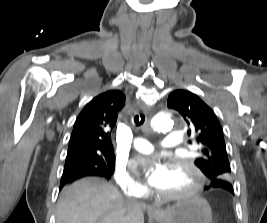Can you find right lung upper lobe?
I'll list each match as a JSON object with an SVG mask.
<instances>
[{
  "label": "right lung upper lobe",
  "mask_w": 267,
  "mask_h": 223,
  "mask_svg": "<svg viewBox=\"0 0 267 223\" xmlns=\"http://www.w3.org/2000/svg\"><path fill=\"white\" fill-rule=\"evenodd\" d=\"M124 104L125 96L118 90L107 91L90 101L75 121L66 159L114 154L111 132Z\"/></svg>",
  "instance_id": "right-lung-upper-lobe-1"
}]
</instances>
